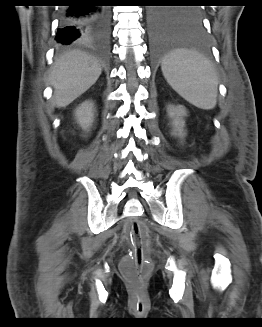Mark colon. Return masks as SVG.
Returning a JSON list of instances; mask_svg holds the SVG:
<instances>
[{
  "mask_svg": "<svg viewBox=\"0 0 262 327\" xmlns=\"http://www.w3.org/2000/svg\"><path fill=\"white\" fill-rule=\"evenodd\" d=\"M126 235L133 245V252L123 261L122 272L139 292L144 286L150 268L149 262L145 258L148 233L142 222L133 220L126 228Z\"/></svg>",
  "mask_w": 262,
  "mask_h": 327,
  "instance_id": "5ec220e1",
  "label": "colon"
}]
</instances>
